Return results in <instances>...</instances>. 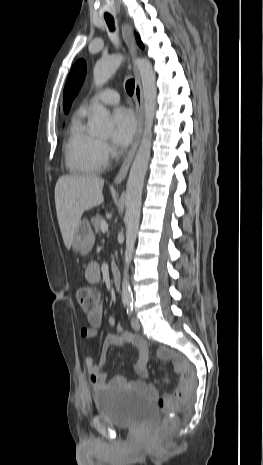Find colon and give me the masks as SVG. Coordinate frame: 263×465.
<instances>
[{"instance_id":"1","label":"colon","mask_w":263,"mask_h":465,"mask_svg":"<svg viewBox=\"0 0 263 465\" xmlns=\"http://www.w3.org/2000/svg\"><path fill=\"white\" fill-rule=\"evenodd\" d=\"M77 300H78L80 307L83 309V311H85L86 313H90V312H93L98 307L99 301H100V293L92 287H81L77 291ZM188 387H189V378L187 376H183L181 387L175 394V397H171V398L165 397V398H160L158 400L159 406L166 413V416L164 417L161 423V426L159 428V431L162 434H166L172 431L176 427L178 423V419H177V416L175 415L174 410H175L177 401L185 397Z\"/></svg>"}]
</instances>
